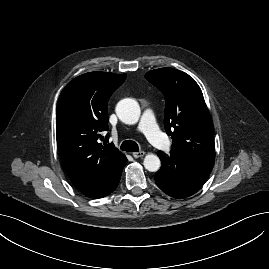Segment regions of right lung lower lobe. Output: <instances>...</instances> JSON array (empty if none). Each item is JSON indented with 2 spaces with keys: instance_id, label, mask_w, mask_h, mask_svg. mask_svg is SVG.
Returning a JSON list of instances; mask_svg holds the SVG:
<instances>
[{
  "instance_id": "98d812e1",
  "label": "right lung lower lobe",
  "mask_w": 269,
  "mask_h": 269,
  "mask_svg": "<svg viewBox=\"0 0 269 269\" xmlns=\"http://www.w3.org/2000/svg\"><path fill=\"white\" fill-rule=\"evenodd\" d=\"M126 164L127 159L110 177L92 187L82 189L80 191L84 195L92 198H102L109 195L117 188L122 170Z\"/></svg>"
}]
</instances>
